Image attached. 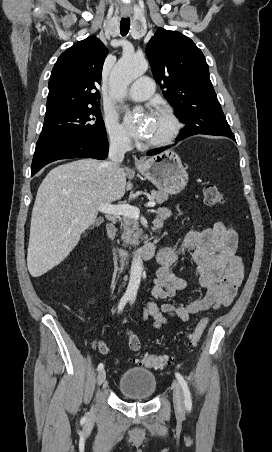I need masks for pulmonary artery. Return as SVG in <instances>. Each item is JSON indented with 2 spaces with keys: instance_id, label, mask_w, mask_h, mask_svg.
<instances>
[{
  "instance_id": "e3ab8cb5",
  "label": "pulmonary artery",
  "mask_w": 272,
  "mask_h": 452,
  "mask_svg": "<svg viewBox=\"0 0 272 452\" xmlns=\"http://www.w3.org/2000/svg\"><path fill=\"white\" fill-rule=\"evenodd\" d=\"M154 92V83L148 77H141L130 87L128 96L133 101H145L151 97Z\"/></svg>"
}]
</instances>
